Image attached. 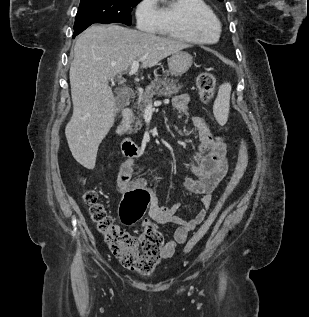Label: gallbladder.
I'll list each match as a JSON object with an SVG mask.
<instances>
[{
  "mask_svg": "<svg viewBox=\"0 0 309 317\" xmlns=\"http://www.w3.org/2000/svg\"><path fill=\"white\" fill-rule=\"evenodd\" d=\"M116 93V108L118 111H120L128 104L129 97L127 94L121 93L119 91H116Z\"/></svg>",
  "mask_w": 309,
  "mask_h": 317,
  "instance_id": "gallbladder-1",
  "label": "gallbladder"
}]
</instances>
